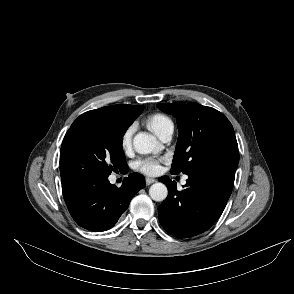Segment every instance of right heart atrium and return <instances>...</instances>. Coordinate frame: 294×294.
<instances>
[{
    "mask_svg": "<svg viewBox=\"0 0 294 294\" xmlns=\"http://www.w3.org/2000/svg\"><path fill=\"white\" fill-rule=\"evenodd\" d=\"M134 129H135V126L131 125L124 131L122 135L121 146L124 150H127L131 146Z\"/></svg>",
    "mask_w": 294,
    "mask_h": 294,
    "instance_id": "right-heart-atrium-1",
    "label": "right heart atrium"
}]
</instances>
